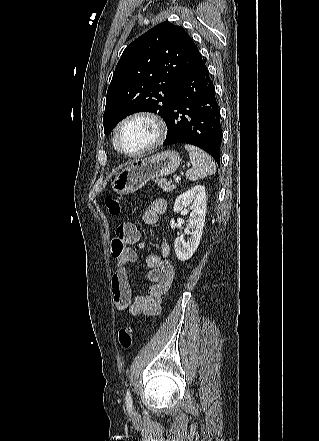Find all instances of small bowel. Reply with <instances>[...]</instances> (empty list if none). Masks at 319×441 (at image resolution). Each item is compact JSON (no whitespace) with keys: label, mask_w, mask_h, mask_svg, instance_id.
I'll return each mask as SVG.
<instances>
[{"label":"small bowel","mask_w":319,"mask_h":441,"mask_svg":"<svg viewBox=\"0 0 319 441\" xmlns=\"http://www.w3.org/2000/svg\"><path fill=\"white\" fill-rule=\"evenodd\" d=\"M167 202L163 198L152 200L143 213L142 220L146 225L157 224L161 215L166 212ZM143 247L141 233L137 226L127 222L118 226L116 238L111 243V253L116 258L117 270L112 276L111 294L117 311L128 310L132 316H153L161 312L162 296L169 290L174 268L167 260L169 246L161 244L160 255L150 254L146 257L149 268L147 274L152 285L144 295L133 296L128 277V267L134 264L138 255L131 246Z\"/></svg>","instance_id":"obj_1"}]
</instances>
